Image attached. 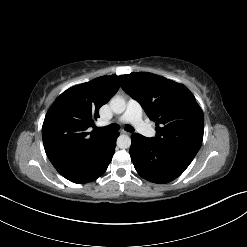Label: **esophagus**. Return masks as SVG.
<instances>
[{
  "instance_id": "34e87169",
  "label": "esophagus",
  "mask_w": 247,
  "mask_h": 247,
  "mask_svg": "<svg viewBox=\"0 0 247 247\" xmlns=\"http://www.w3.org/2000/svg\"><path fill=\"white\" fill-rule=\"evenodd\" d=\"M121 133H122V134H126V135H131L130 132H127V131H124V130H122Z\"/></svg>"
}]
</instances>
